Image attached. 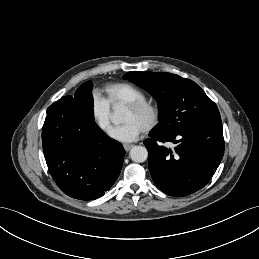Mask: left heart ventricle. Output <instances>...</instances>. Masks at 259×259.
<instances>
[{
    "instance_id": "b2bd125f",
    "label": "left heart ventricle",
    "mask_w": 259,
    "mask_h": 259,
    "mask_svg": "<svg viewBox=\"0 0 259 259\" xmlns=\"http://www.w3.org/2000/svg\"><path fill=\"white\" fill-rule=\"evenodd\" d=\"M121 119L122 121H132L142 129L148 123L150 115L147 112L133 113L127 110H123Z\"/></svg>"
}]
</instances>
